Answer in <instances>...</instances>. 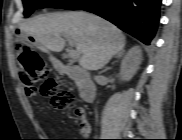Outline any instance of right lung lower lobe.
<instances>
[{
	"label": "right lung lower lobe",
	"mask_w": 182,
	"mask_h": 140,
	"mask_svg": "<svg viewBox=\"0 0 182 140\" xmlns=\"http://www.w3.org/2000/svg\"><path fill=\"white\" fill-rule=\"evenodd\" d=\"M161 0H94L82 9L95 13L149 45L158 27Z\"/></svg>",
	"instance_id": "98d812e1"
}]
</instances>
